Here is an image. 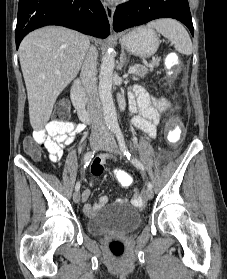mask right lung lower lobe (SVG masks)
<instances>
[{
  "label": "right lung lower lobe",
  "mask_w": 227,
  "mask_h": 279,
  "mask_svg": "<svg viewBox=\"0 0 227 279\" xmlns=\"http://www.w3.org/2000/svg\"><path fill=\"white\" fill-rule=\"evenodd\" d=\"M46 25H61L99 38L109 34L100 0H20L16 48L29 32Z\"/></svg>",
  "instance_id": "98d812e1"
}]
</instances>
